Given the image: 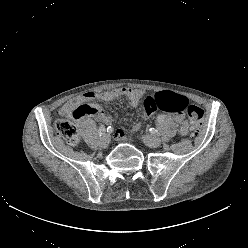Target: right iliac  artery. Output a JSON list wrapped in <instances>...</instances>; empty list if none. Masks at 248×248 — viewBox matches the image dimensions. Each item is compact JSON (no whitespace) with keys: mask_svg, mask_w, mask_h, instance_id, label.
I'll list each match as a JSON object with an SVG mask.
<instances>
[{"mask_svg":"<svg viewBox=\"0 0 248 248\" xmlns=\"http://www.w3.org/2000/svg\"><path fill=\"white\" fill-rule=\"evenodd\" d=\"M105 132H106V128H105V126H104V125H101V126L99 127V130H98V134H99V136L104 135V134H105Z\"/></svg>","mask_w":248,"mask_h":248,"instance_id":"right-iliac-artery-1","label":"right iliac artery"}]
</instances>
